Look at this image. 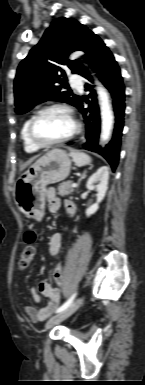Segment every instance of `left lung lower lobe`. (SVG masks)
<instances>
[{"mask_svg":"<svg viewBox=\"0 0 145 385\" xmlns=\"http://www.w3.org/2000/svg\"><path fill=\"white\" fill-rule=\"evenodd\" d=\"M86 62H88L93 67L95 72L98 73L97 76L112 94L113 107L116 118L113 138L109 144H107L106 147L102 149L98 146V139L100 134V114L96 99V92L93 89V86L89 83L92 82L90 74L87 72L85 67H82L79 74L88 80V82L85 84V89L90 91L88 97L92 99L90 102L82 99L80 105L78 106V109L83 114L85 119L87 130V142L83 145V147L87 150L97 152L102 155L114 170L116 169L119 161L121 135L124 122L123 117L125 110V91L120 69L114 59L113 54L105 46L104 42L95 34L91 40ZM84 101L89 103L88 108H84Z\"/></svg>","mask_w":145,"mask_h":385,"instance_id":"1","label":"left lung lower lobe"}]
</instances>
